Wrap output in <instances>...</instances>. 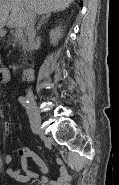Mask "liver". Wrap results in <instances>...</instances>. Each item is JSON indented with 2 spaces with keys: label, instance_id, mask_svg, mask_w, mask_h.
<instances>
[{
  "label": "liver",
  "instance_id": "6515ba94",
  "mask_svg": "<svg viewBox=\"0 0 119 185\" xmlns=\"http://www.w3.org/2000/svg\"><path fill=\"white\" fill-rule=\"evenodd\" d=\"M74 0H0V29L8 27L25 28L26 11L47 14L65 10ZM11 14L9 15V13Z\"/></svg>",
  "mask_w": 119,
  "mask_h": 185
}]
</instances>
